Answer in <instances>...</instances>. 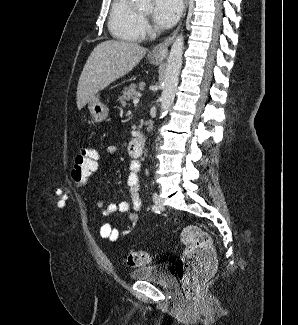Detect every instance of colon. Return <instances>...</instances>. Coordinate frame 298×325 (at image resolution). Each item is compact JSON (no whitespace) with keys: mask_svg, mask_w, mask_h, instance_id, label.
Wrapping results in <instances>:
<instances>
[{"mask_svg":"<svg viewBox=\"0 0 298 325\" xmlns=\"http://www.w3.org/2000/svg\"><path fill=\"white\" fill-rule=\"evenodd\" d=\"M99 152L94 146L83 148L76 156L71 171L75 186L87 184L96 170ZM54 198L64 203L67 194L56 190ZM185 248L178 264L177 275L183 290L188 297L195 296L207 284L216 270V257L209 235L197 226H187L181 233ZM150 262V256L145 251H131L126 255V263L138 267Z\"/></svg>","mask_w":298,"mask_h":325,"instance_id":"obj_1","label":"colon"}]
</instances>
